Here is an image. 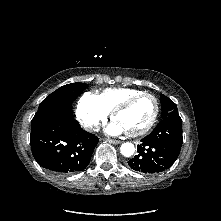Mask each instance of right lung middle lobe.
Returning a JSON list of instances; mask_svg holds the SVG:
<instances>
[{
    "label": "right lung middle lobe",
    "mask_w": 221,
    "mask_h": 221,
    "mask_svg": "<svg viewBox=\"0 0 221 221\" xmlns=\"http://www.w3.org/2000/svg\"><path fill=\"white\" fill-rule=\"evenodd\" d=\"M86 87V83H71L60 87L40 103L32 122L51 110L71 105Z\"/></svg>",
    "instance_id": "1"
}]
</instances>
